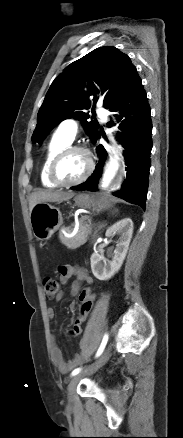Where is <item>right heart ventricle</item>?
Instances as JSON below:
<instances>
[{
    "label": "right heart ventricle",
    "instance_id": "right-heart-ventricle-1",
    "mask_svg": "<svg viewBox=\"0 0 183 438\" xmlns=\"http://www.w3.org/2000/svg\"><path fill=\"white\" fill-rule=\"evenodd\" d=\"M72 143V140L68 139L66 136L57 131L52 138L50 139L42 160L41 168H40V179L41 183L45 188H54L56 187L48 178V169L50 163L54 156L63 148L69 146Z\"/></svg>",
    "mask_w": 183,
    "mask_h": 438
}]
</instances>
